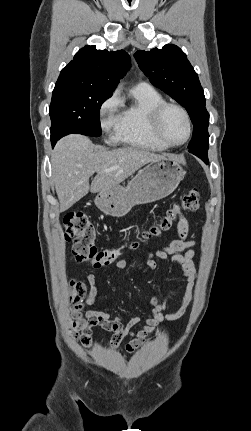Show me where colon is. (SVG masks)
<instances>
[{
    "label": "colon",
    "mask_w": 251,
    "mask_h": 431,
    "mask_svg": "<svg viewBox=\"0 0 251 431\" xmlns=\"http://www.w3.org/2000/svg\"><path fill=\"white\" fill-rule=\"evenodd\" d=\"M200 207V197L196 189L188 190L180 201L170 208L159 223L144 231L143 238H151L169 230L174 221L183 212H193ZM64 238L72 243V253L77 261L87 262L96 268L115 262L121 251L119 248L98 249L96 246L97 231L89 218L81 212L68 213L63 219ZM137 244H131L133 248ZM87 293L82 282L72 281L70 301L80 305Z\"/></svg>",
    "instance_id": "1"
}]
</instances>
